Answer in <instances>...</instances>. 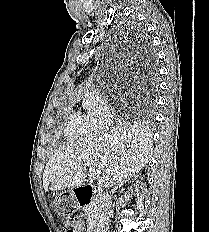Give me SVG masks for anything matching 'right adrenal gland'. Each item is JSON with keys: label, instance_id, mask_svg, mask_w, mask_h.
Wrapping results in <instances>:
<instances>
[{"label": "right adrenal gland", "instance_id": "2a0ac1e0", "mask_svg": "<svg viewBox=\"0 0 209 232\" xmlns=\"http://www.w3.org/2000/svg\"><path fill=\"white\" fill-rule=\"evenodd\" d=\"M132 177V175L131 176H129L128 178H127V180H129L130 178ZM118 187H121V185H119V186H114L113 187V192H115L117 189H118Z\"/></svg>", "mask_w": 209, "mask_h": 232}]
</instances>
